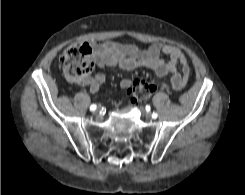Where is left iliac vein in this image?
I'll use <instances>...</instances> for the list:
<instances>
[{"instance_id": "4c4485c4", "label": "left iliac vein", "mask_w": 245, "mask_h": 195, "mask_svg": "<svg viewBox=\"0 0 245 195\" xmlns=\"http://www.w3.org/2000/svg\"><path fill=\"white\" fill-rule=\"evenodd\" d=\"M147 117H150L151 115L149 113L146 114Z\"/></svg>"}]
</instances>
